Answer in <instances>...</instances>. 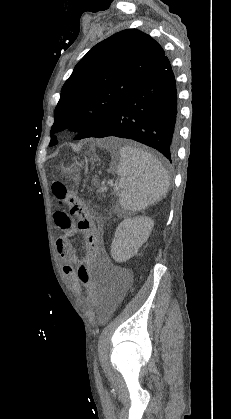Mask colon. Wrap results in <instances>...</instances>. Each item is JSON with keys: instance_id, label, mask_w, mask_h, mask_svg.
Wrapping results in <instances>:
<instances>
[{"instance_id": "1", "label": "colon", "mask_w": 231, "mask_h": 419, "mask_svg": "<svg viewBox=\"0 0 231 419\" xmlns=\"http://www.w3.org/2000/svg\"><path fill=\"white\" fill-rule=\"evenodd\" d=\"M52 191L58 203L67 206L72 217L77 218V229L85 234L86 245L78 264L76 279L81 280V286L88 294L87 302L94 303L102 291L101 284H98L94 274L90 273L92 262H95L100 255V244L96 236L94 218L85 201L76 193L69 191L62 182L55 181L52 184Z\"/></svg>"}]
</instances>
